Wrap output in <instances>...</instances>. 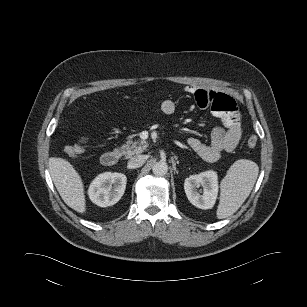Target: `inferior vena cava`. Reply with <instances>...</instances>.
<instances>
[{"label": "inferior vena cava", "instance_id": "1", "mask_svg": "<svg viewBox=\"0 0 307 307\" xmlns=\"http://www.w3.org/2000/svg\"><path fill=\"white\" fill-rule=\"evenodd\" d=\"M145 161L146 157L144 155L134 156L128 161V168H139L145 163Z\"/></svg>", "mask_w": 307, "mask_h": 307}]
</instances>
